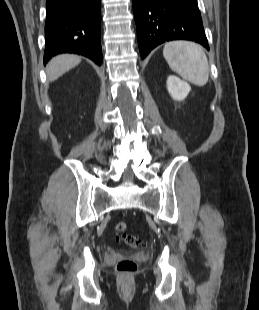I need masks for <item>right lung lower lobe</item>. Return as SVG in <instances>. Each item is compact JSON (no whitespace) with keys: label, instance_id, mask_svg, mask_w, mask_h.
Here are the masks:
<instances>
[{"label":"right lung lower lobe","instance_id":"right-lung-lower-lobe-1","mask_svg":"<svg viewBox=\"0 0 259 310\" xmlns=\"http://www.w3.org/2000/svg\"><path fill=\"white\" fill-rule=\"evenodd\" d=\"M100 0H46L44 64L76 53L102 64Z\"/></svg>","mask_w":259,"mask_h":310}]
</instances>
